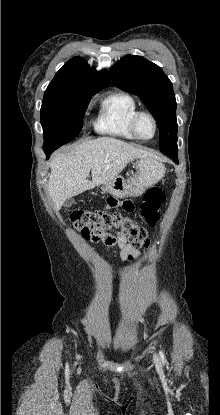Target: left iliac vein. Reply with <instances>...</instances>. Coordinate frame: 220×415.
<instances>
[{"mask_svg":"<svg viewBox=\"0 0 220 415\" xmlns=\"http://www.w3.org/2000/svg\"><path fill=\"white\" fill-rule=\"evenodd\" d=\"M153 359H154V363L157 366H159L161 364L160 358H159V356L157 354H154Z\"/></svg>","mask_w":220,"mask_h":415,"instance_id":"left-iliac-vein-1","label":"left iliac vein"}]
</instances>
